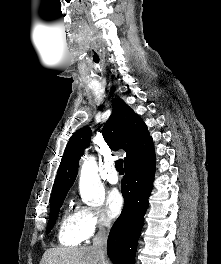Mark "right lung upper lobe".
Listing matches in <instances>:
<instances>
[{"instance_id": "cb5924a9", "label": "right lung upper lobe", "mask_w": 221, "mask_h": 264, "mask_svg": "<svg viewBox=\"0 0 221 264\" xmlns=\"http://www.w3.org/2000/svg\"><path fill=\"white\" fill-rule=\"evenodd\" d=\"M91 129L83 127L70 138L58 168L53 185L51 200L59 195L67 194L73 185L78 171V161L89 147ZM103 137L112 150L123 149L125 167L148 160L154 154L152 138L146 124L120 98L113 102V112L102 129Z\"/></svg>"}]
</instances>
